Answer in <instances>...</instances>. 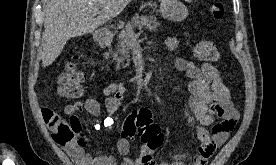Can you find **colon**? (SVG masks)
<instances>
[{
    "mask_svg": "<svg viewBox=\"0 0 276 165\" xmlns=\"http://www.w3.org/2000/svg\"><path fill=\"white\" fill-rule=\"evenodd\" d=\"M216 19H222L225 15L224 6L215 3L211 8ZM198 59L206 62L215 61L219 57L217 46L210 40H202L195 47ZM84 74L78 68L76 60L68 62L58 78L56 94L61 98H75L82 92ZM49 128L54 140L62 145L78 143L80 141V126L75 122H66L57 113L46 114ZM139 135L143 147L155 150L163 143V133L158 124L153 121L152 113L148 108H139L132 111L124 121L122 127L123 137Z\"/></svg>",
    "mask_w": 276,
    "mask_h": 165,
    "instance_id": "5ec220e1",
    "label": "colon"
}]
</instances>
